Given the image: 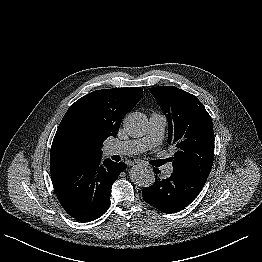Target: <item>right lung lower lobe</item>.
<instances>
[{"instance_id":"98d812e1","label":"right lung lower lobe","mask_w":262,"mask_h":262,"mask_svg":"<svg viewBox=\"0 0 262 262\" xmlns=\"http://www.w3.org/2000/svg\"><path fill=\"white\" fill-rule=\"evenodd\" d=\"M124 162L101 158L50 166L56 196L65 211L80 222L93 221L110 207L111 186L125 170Z\"/></svg>"}]
</instances>
